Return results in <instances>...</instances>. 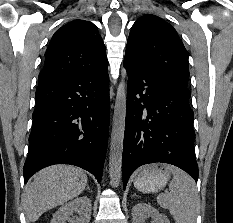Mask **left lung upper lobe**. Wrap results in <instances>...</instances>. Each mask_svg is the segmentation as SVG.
Listing matches in <instances>:
<instances>
[{
  "label": "left lung upper lobe",
  "mask_w": 233,
  "mask_h": 223,
  "mask_svg": "<svg viewBox=\"0 0 233 223\" xmlns=\"http://www.w3.org/2000/svg\"><path fill=\"white\" fill-rule=\"evenodd\" d=\"M126 53L160 77L187 87L189 54L176 30L163 19L151 14L137 19Z\"/></svg>",
  "instance_id": "5c2ea615"
}]
</instances>
